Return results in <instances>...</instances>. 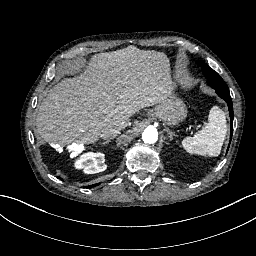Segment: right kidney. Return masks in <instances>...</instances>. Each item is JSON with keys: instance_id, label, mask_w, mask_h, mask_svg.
Wrapping results in <instances>:
<instances>
[{"instance_id": "obj_1", "label": "right kidney", "mask_w": 256, "mask_h": 256, "mask_svg": "<svg viewBox=\"0 0 256 256\" xmlns=\"http://www.w3.org/2000/svg\"><path fill=\"white\" fill-rule=\"evenodd\" d=\"M76 169H83L86 174H95L106 170L105 155L103 153H84L74 162Z\"/></svg>"}]
</instances>
